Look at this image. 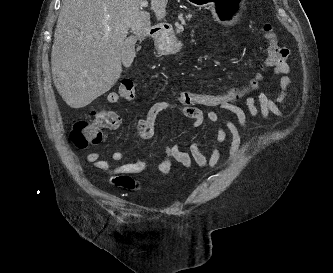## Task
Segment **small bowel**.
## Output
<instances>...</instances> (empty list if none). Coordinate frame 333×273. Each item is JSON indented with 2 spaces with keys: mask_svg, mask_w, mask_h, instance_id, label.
<instances>
[{
  "mask_svg": "<svg viewBox=\"0 0 333 273\" xmlns=\"http://www.w3.org/2000/svg\"><path fill=\"white\" fill-rule=\"evenodd\" d=\"M222 34L227 39L231 48H235V42L227 30V27L222 29ZM278 61L273 62L274 72L277 76V83L279 91L275 94H268L266 92H259L257 96L251 97L242 95L236 97L229 92L221 93L228 94L229 98H232L233 102L236 99H243V104H239V108L236 109H210L204 113L201 109H196L195 105L191 104V108H186V105L178 101H150L146 104L144 113H142L137 121L138 135L142 140L148 141L154 137V126L158 116L166 110H175L188 118L195 126H200L207 118L213 123L220 125L216 128V137L214 139L211 153L209 157H206L199 148V143L194 141L189 146V152L182 151L177 143H170L165 146L163 157L158 168V176L162 178L166 176L170 170L172 162H177L182 165L186 170L192 171L194 164H196L202 170L214 169L218 166L221 153L219 150V144L222 143L227 134L231 136V145L228 151V156L231 160L235 159L240 146H241V133L240 129L247 130V115L252 118H262L269 120L272 116L284 121V107L285 99L288 92L292 89L293 83L288 74L291 72L289 65V50L280 46L277 54ZM207 94V93H196ZM132 102V95H121L118 92H112L107 96V101H103L101 106V113H108V117H113V112L109 111V103L114 104L117 102ZM231 112L236 122L227 118L222 112ZM117 117L114 124L109 126L110 129L116 130L121 126V119ZM125 153L122 151H114L111 154V159L115 162H120L124 159ZM86 159L88 162L95 163L96 166L112 176V181L116 186L124 189L139 190L142 188V184L135 181L131 175L141 173L147 165V157L143 156L139 160L131 163H125L121 165H115L110 161L103 159L102 154L99 151H93L87 154Z\"/></svg>",
  "mask_w": 333,
  "mask_h": 273,
  "instance_id": "c3829d8e",
  "label": "small bowel"
}]
</instances>
